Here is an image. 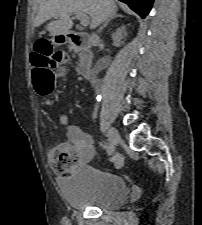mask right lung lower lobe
<instances>
[{
	"label": "right lung lower lobe",
	"mask_w": 202,
	"mask_h": 225,
	"mask_svg": "<svg viewBox=\"0 0 202 225\" xmlns=\"http://www.w3.org/2000/svg\"><path fill=\"white\" fill-rule=\"evenodd\" d=\"M144 18L150 11L154 0H120Z\"/></svg>",
	"instance_id": "obj_1"
}]
</instances>
